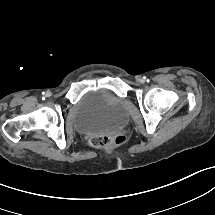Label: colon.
<instances>
[{
  "mask_svg": "<svg viewBox=\"0 0 215 215\" xmlns=\"http://www.w3.org/2000/svg\"><path fill=\"white\" fill-rule=\"evenodd\" d=\"M122 138V136H118L116 134L97 136L92 139V145L97 148H106L120 144Z\"/></svg>",
  "mask_w": 215,
  "mask_h": 215,
  "instance_id": "obj_1",
  "label": "colon"
}]
</instances>
